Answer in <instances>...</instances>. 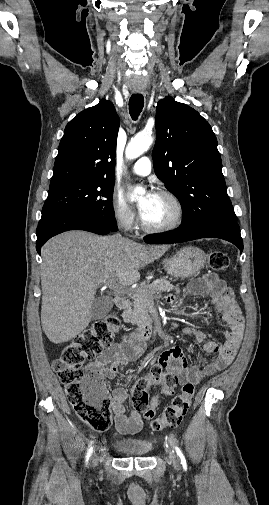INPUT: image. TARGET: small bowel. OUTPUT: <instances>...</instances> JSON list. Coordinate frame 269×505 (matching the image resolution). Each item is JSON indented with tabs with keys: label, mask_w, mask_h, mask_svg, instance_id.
I'll return each instance as SVG.
<instances>
[{
	"label": "small bowel",
	"mask_w": 269,
	"mask_h": 505,
	"mask_svg": "<svg viewBox=\"0 0 269 505\" xmlns=\"http://www.w3.org/2000/svg\"><path fill=\"white\" fill-rule=\"evenodd\" d=\"M187 293L195 296H210L215 309L220 313L223 321L227 324L225 340L217 343L206 340V334L200 329H187V333L198 342L203 343V350L213 359L203 367L190 365L183 350L174 346L164 350L157 363L152 367L163 373L173 376L177 384H198L203 378L213 375L225 369L233 361L239 348L243 331L244 318L235 300L232 290L225 281L214 272H208L201 278L192 281L187 287ZM175 300L174 296L169 302ZM143 351L141 343H134L129 338L117 342L107 348L96 359L86 366L91 374L102 378L113 379L121 364L137 359ZM127 399V391L124 387H116L112 390L110 400L114 412L115 427L120 435H135L142 430L143 421L141 414L133 410L126 413L124 402Z\"/></svg>",
	"instance_id": "1"
}]
</instances>
